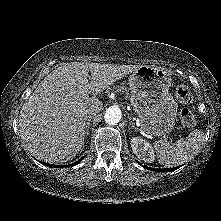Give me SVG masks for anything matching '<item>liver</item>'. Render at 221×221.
<instances>
[{"instance_id":"obj_1","label":"liver","mask_w":221,"mask_h":221,"mask_svg":"<svg viewBox=\"0 0 221 221\" xmlns=\"http://www.w3.org/2000/svg\"><path fill=\"white\" fill-rule=\"evenodd\" d=\"M138 67L71 62L53 70L21 108L19 133L26 148L48 163L75 158L84 144L87 109L102 107L95 95Z\"/></svg>"}]
</instances>
